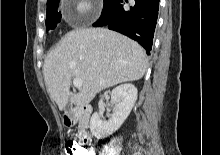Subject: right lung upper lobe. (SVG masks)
I'll return each mask as SVG.
<instances>
[{
    "label": "right lung upper lobe",
    "mask_w": 220,
    "mask_h": 155,
    "mask_svg": "<svg viewBox=\"0 0 220 155\" xmlns=\"http://www.w3.org/2000/svg\"><path fill=\"white\" fill-rule=\"evenodd\" d=\"M52 1H54V0H48V1H47V4L50 3V2H52Z\"/></svg>",
    "instance_id": "right-lung-upper-lobe-1"
}]
</instances>
